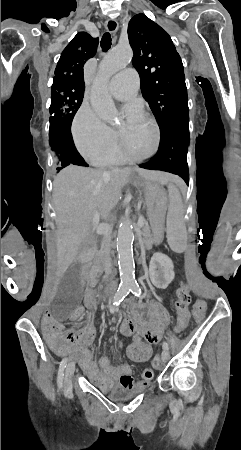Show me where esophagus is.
Listing matches in <instances>:
<instances>
[{
  "mask_svg": "<svg viewBox=\"0 0 241 450\" xmlns=\"http://www.w3.org/2000/svg\"><path fill=\"white\" fill-rule=\"evenodd\" d=\"M107 32H110L112 34H115L118 30V23L116 22V20L109 18L108 20H106L105 24H104Z\"/></svg>",
  "mask_w": 241,
  "mask_h": 450,
  "instance_id": "34e87169",
  "label": "esophagus"
}]
</instances>
